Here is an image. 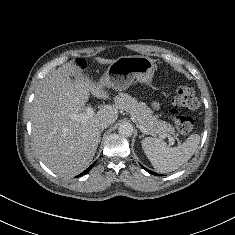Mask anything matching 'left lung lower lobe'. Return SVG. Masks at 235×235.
Here are the masks:
<instances>
[{
    "label": "left lung lower lobe",
    "instance_id": "0a47b994",
    "mask_svg": "<svg viewBox=\"0 0 235 235\" xmlns=\"http://www.w3.org/2000/svg\"><path fill=\"white\" fill-rule=\"evenodd\" d=\"M142 168L145 169V170H146L147 172H149L150 174L160 176L159 174H157V173H155V172H153V171H151V170H148V169H146V168L143 167V166H142Z\"/></svg>",
    "mask_w": 235,
    "mask_h": 235
}]
</instances>
